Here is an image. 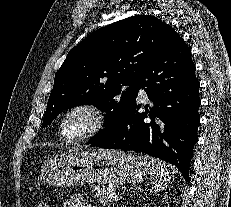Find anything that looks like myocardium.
I'll return each instance as SVG.
<instances>
[{
  "instance_id": "f54148a6",
  "label": "myocardium",
  "mask_w": 231,
  "mask_h": 207,
  "mask_svg": "<svg viewBox=\"0 0 231 207\" xmlns=\"http://www.w3.org/2000/svg\"><path fill=\"white\" fill-rule=\"evenodd\" d=\"M76 112L86 113L91 120L89 129L82 135L76 137H70L65 132V123L68 117ZM106 124V118L100 108L91 103H78L69 107L61 116L59 122V134L60 136L72 143L82 142L92 138L103 130Z\"/></svg>"
}]
</instances>
